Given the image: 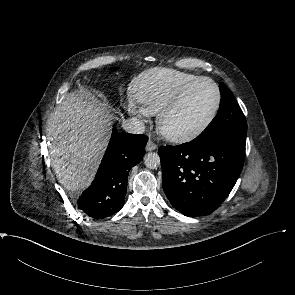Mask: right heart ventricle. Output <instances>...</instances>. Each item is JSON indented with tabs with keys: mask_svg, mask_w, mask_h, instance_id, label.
<instances>
[{
	"mask_svg": "<svg viewBox=\"0 0 295 295\" xmlns=\"http://www.w3.org/2000/svg\"><path fill=\"white\" fill-rule=\"evenodd\" d=\"M197 77L173 69L154 68L137 77L136 95L151 115H157L182 87Z\"/></svg>",
	"mask_w": 295,
	"mask_h": 295,
	"instance_id": "e07e8e85",
	"label": "right heart ventricle"
}]
</instances>
